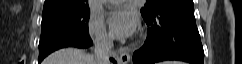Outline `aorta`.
<instances>
[{
  "label": "aorta",
  "mask_w": 242,
  "mask_h": 64,
  "mask_svg": "<svg viewBox=\"0 0 242 64\" xmlns=\"http://www.w3.org/2000/svg\"><path fill=\"white\" fill-rule=\"evenodd\" d=\"M107 2V0H103V3H106Z\"/></svg>",
  "instance_id": "aorta-1"
}]
</instances>
